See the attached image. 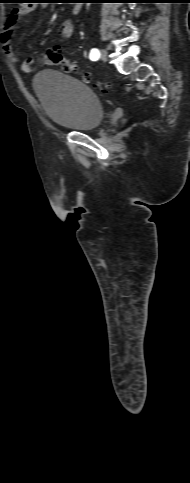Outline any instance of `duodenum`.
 Wrapping results in <instances>:
<instances>
[{"mask_svg":"<svg viewBox=\"0 0 190 483\" xmlns=\"http://www.w3.org/2000/svg\"><path fill=\"white\" fill-rule=\"evenodd\" d=\"M72 10H73L74 13H77L78 10H79V7L77 5H75V6H73Z\"/></svg>","mask_w":190,"mask_h":483,"instance_id":"obj_1","label":"duodenum"}]
</instances>
